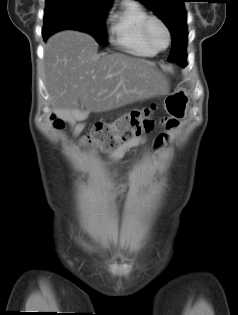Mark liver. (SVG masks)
I'll list each match as a JSON object with an SVG mask.
<instances>
[{"instance_id": "obj_1", "label": "liver", "mask_w": 238, "mask_h": 315, "mask_svg": "<svg viewBox=\"0 0 238 315\" xmlns=\"http://www.w3.org/2000/svg\"><path fill=\"white\" fill-rule=\"evenodd\" d=\"M97 50L96 41L78 31H62L48 39L45 85L58 117L83 120L90 112L117 109L165 91L164 76L150 62Z\"/></svg>"}]
</instances>
